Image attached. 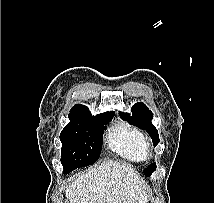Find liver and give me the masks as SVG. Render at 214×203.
Returning <instances> with one entry per match:
<instances>
[{
	"mask_svg": "<svg viewBox=\"0 0 214 203\" xmlns=\"http://www.w3.org/2000/svg\"><path fill=\"white\" fill-rule=\"evenodd\" d=\"M70 203H148L146 187L130 166L104 162L79 175L67 186Z\"/></svg>",
	"mask_w": 214,
	"mask_h": 203,
	"instance_id": "liver-1",
	"label": "liver"
}]
</instances>
